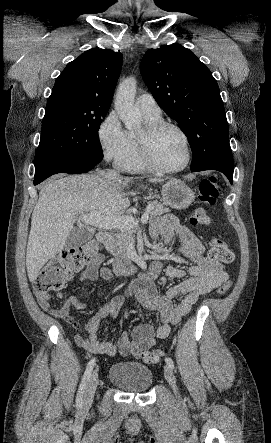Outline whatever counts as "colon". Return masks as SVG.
<instances>
[{"label":"colon","instance_id":"obj_1","mask_svg":"<svg viewBox=\"0 0 271 443\" xmlns=\"http://www.w3.org/2000/svg\"><path fill=\"white\" fill-rule=\"evenodd\" d=\"M219 187L215 177L203 179L199 184L198 198L204 205H214L219 196ZM190 223L194 226L209 227L212 218L204 208H197L190 216ZM209 257L224 264L234 260V254L228 245L221 239H212L209 243ZM100 259V248L96 242L90 241L72 248L65 254L50 260L41 270L33 282V291L39 296L48 295L51 291L60 290L73 273L81 270L85 265L96 263ZM231 282H224L217 290L219 295L227 293ZM164 353L160 350L143 353L142 359L146 363H157Z\"/></svg>","mask_w":271,"mask_h":443}]
</instances>
